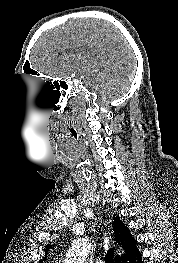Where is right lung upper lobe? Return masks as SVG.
<instances>
[{"label":"right lung upper lobe","mask_w":178,"mask_h":263,"mask_svg":"<svg viewBox=\"0 0 178 263\" xmlns=\"http://www.w3.org/2000/svg\"><path fill=\"white\" fill-rule=\"evenodd\" d=\"M113 234L116 243L123 249V253L121 255L115 256V261L116 263H125L132 255H134L138 251V248L136 246L137 241L134 239V237H132L127 226L122 223L119 217L114 218ZM49 248L50 245H47L45 249V255H47ZM42 262L43 260L41 261V263Z\"/></svg>","instance_id":"cb5924a9"}]
</instances>
